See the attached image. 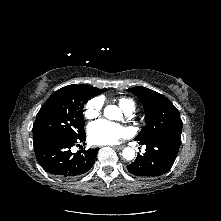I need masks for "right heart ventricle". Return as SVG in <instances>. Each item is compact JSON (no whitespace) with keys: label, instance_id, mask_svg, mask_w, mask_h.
Wrapping results in <instances>:
<instances>
[{"label":"right heart ventricle","instance_id":"e07e8e85","mask_svg":"<svg viewBox=\"0 0 221 221\" xmlns=\"http://www.w3.org/2000/svg\"><path fill=\"white\" fill-rule=\"evenodd\" d=\"M119 105L124 111H127L129 109H134V102L132 99L127 97H121L118 99Z\"/></svg>","mask_w":221,"mask_h":221}]
</instances>
